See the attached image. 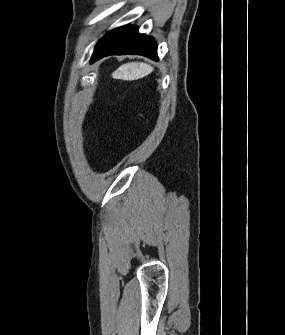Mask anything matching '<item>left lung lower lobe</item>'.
I'll list each match as a JSON object with an SVG mask.
<instances>
[{
  "mask_svg": "<svg viewBox=\"0 0 285 335\" xmlns=\"http://www.w3.org/2000/svg\"><path fill=\"white\" fill-rule=\"evenodd\" d=\"M112 54H139L158 60L154 39L138 33L137 27L129 25L108 32L97 43L91 62Z\"/></svg>",
  "mask_w": 285,
  "mask_h": 335,
  "instance_id": "1",
  "label": "left lung lower lobe"
}]
</instances>
